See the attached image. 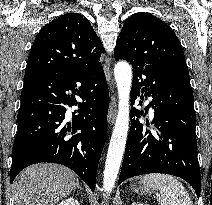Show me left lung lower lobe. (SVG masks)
<instances>
[{
	"label": "left lung lower lobe",
	"mask_w": 212,
	"mask_h": 205,
	"mask_svg": "<svg viewBox=\"0 0 212 205\" xmlns=\"http://www.w3.org/2000/svg\"><path fill=\"white\" fill-rule=\"evenodd\" d=\"M140 93L153 97L146 111L154 109L155 131L132 120L119 184L138 175L166 173L187 181L199 197L201 178L189 72L164 63L134 66L132 105ZM132 113L140 116L136 109Z\"/></svg>",
	"instance_id": "1"
}]
</instances>
